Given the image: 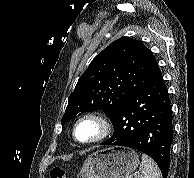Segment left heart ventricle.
Segmentation results:
<instances>
[{"instance_id":"obj_1","label":"left heart ventricle","mask_w":194,"mask_h":178,"mask_svg":"<svg viewBox=\"0 0 194 178\" xmlns=\"http://www.w3.org/2000/svg\"><path fill=\"white\" fill-rule=\"evenodd\" d=\"M98 133V125L93 121H85L77 128V138L81 141H89Z\"/></svg>"}]
</instances>
